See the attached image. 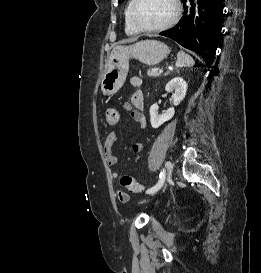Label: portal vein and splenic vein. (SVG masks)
Returning <instances> with one entry per match:
<instances>
[{"instance_id": "portal-vein-and-splenic-vein-1", "label": "portal vein and splenic vein", "mask_w": 261, "mask_h": 273, "mask_svg": "<svg viewBox=\"0 0 261 273\" xmlns=\"http://www.w3.org/2000/svg\"><path fill=\"white\" fill-rule=\"evenodd\" d=\"M162 72H163V70H162V69H160V70H159V73H162Z\"/></svg>"}]
</instances>
